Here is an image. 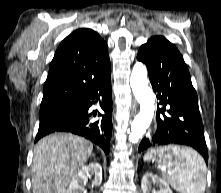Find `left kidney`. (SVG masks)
Segmentation results:
<instances>
[{"label": "left kidney", "instance_id": "1", "mask_svg": "<svg viewBox=\"0 0 221 193\" xmlns=\"http://www.w3.org/2000/svg\"><path fill=\"white\" fill-rule=\"evenodd\" d=\"M152 184H157L160 189L158 191L151 190ZM141 189L143 193H173L166 181L150 172L144 174L141 181Z\"/></svg>", "mask_w": 221, "mask_h": 193}]
</instances>
